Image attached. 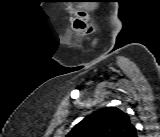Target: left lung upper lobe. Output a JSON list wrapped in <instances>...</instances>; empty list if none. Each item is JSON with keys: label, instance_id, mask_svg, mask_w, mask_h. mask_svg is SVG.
Returning a JSON list of instances; mask_svg holds the SVG:
<instances>
[{"label": "left lung upper lobe", "instance_id": "5c2ea615", "mask_svg": "<svg viewBox=\"0 0 160 137\" xmlns=\"http://www.w3.org/2000/svg\"><path fill=\"white\" fill-rule=\"evenodd\" d=\"M66 137H136V128L126 113L105 107L86 116Z\"/></svg>", "mask_w": 160, "mask_h": 137}]
</instances>
